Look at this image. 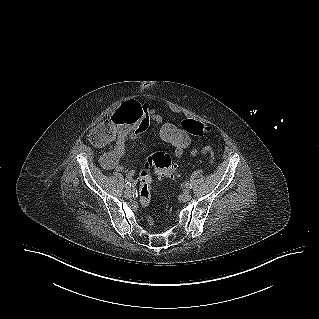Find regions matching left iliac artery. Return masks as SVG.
<instances>
[{
	"instance_id": "44dca946",
	"label": "left iliac artery",
	"mask_w": 319,
	"mask_h": 319,
	"mask_svg": "<svg viewBox=\"0 0 319 319\" xmlns=\"http://www.w3.org/2000/svg\"><path fill=\"white\" fill-rule=\"evenodd\" d=\"M185 187H186L187 189H190L192 186H191V184L186 183V184H185Z\"/></svg>"
}]
</instances>
